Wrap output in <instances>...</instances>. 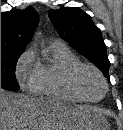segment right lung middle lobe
<instances>
[{"label": "right lung middle lobe", "instance_id": "1", "mask_svg": "<svg viewBox=\"0 0 123 130\" xmlns=\"http://www.w3.org/2000/svg\"><path fill=\"white\" fill-rule=\"evenodd\" d=\"M22 53L1 54V88L15 91L19 85L14 75L15 66Z\"/></svg>", "mask_w": 123, "mask_h": 130}]
</instances>
